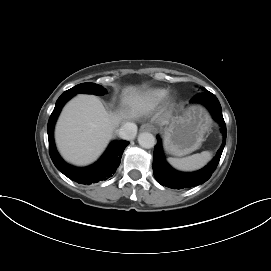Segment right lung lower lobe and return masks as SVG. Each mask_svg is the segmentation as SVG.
I'll return each mask as SVG.
<instances>
[{
  "label": "right lung lower lobe",
  "mask_w": 271,
  "mask_h": 271,
  "mask_svg": "<svg viewBox=\"0 0 271 271\" xmlns=\"http://www.w3.org/2000/svg\"><path fill=\"white\" fill-rule=\"evenodd\" d=\"M72 96L73 95L70 94H62L58 98L55 108L49 118L47 133L50 157L59 171L80 184H91L100 180H106L116 171L121 162L122 153L129 142L124 140L112 142L100 160L89 167L77 168L65 163L56 151L53 129L63 105Z\"/></svg>",
  "instance_id": "obj_1"
}]
</instances>
